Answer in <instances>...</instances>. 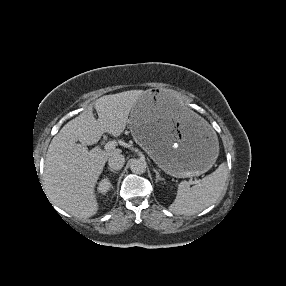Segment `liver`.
<instances>
[{"label":"liver","instance_id":"liver-1","mask_svg":"<svg viewBox=\"0 0 286 286\" xmlns=\"http://www.w3.org/2000/svg\"><path fill=\"white\" fill-rule=\"evenodd\" d=\"M143 93L131 90L102 96L94 103L97 120L89 109L54 136L45 157L44 184L56 206L78 218L86 219L97 213V180L109 157L121 150H88L87 146L96 144L104 133L120 136L135 102Z\"/></svg>","mask_w":286,"mask_h":286}]
</instances>
